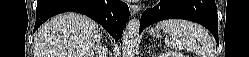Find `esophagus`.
<instances>
[{
    "label": "esophagus",
    "instance_id": "1",
    "mask_svg": "<svg viewBox=\"0 0 249 57\" xmlns=\"http://www.w3.org/2000/svg\"><path fill=\"white\" fill-rule=\"evenodd\" d=\"M141 6L137 4H130L129 5V10L131 15H135L140 11Z\"/></svg>",
    "mask_w": 249,
    "mask_h": 57
}]
</instances>
